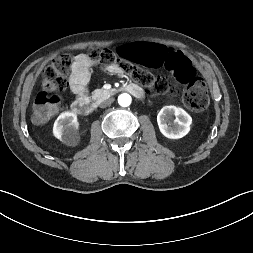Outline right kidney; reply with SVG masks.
Returning a JSON list of instances; mask_svg holds the SVG:
<instances>
[{
    "label": "right kidney",
    "mask_w": 253,
    "mask_h": 253,
    "mask_svg": "<svg viewBox=\"0 0 253 253\" xmlns=\"http://www.w3.org/2000/svg\"><path fill=\"white\" fill-rule=\"evenodd\" d=\"M78 128L79 123L77 121L76 113L65 111L56 119L53 126V134L65 144L75 146L79 141L77 134Z\"/></svg>",
    "instance_id": "obj_1"
}]
</instances>
